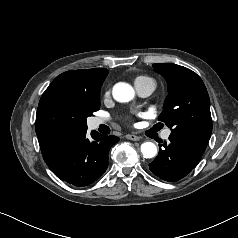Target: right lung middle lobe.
<instances>
[{"label": "right lung middle lobe", "mask_w": 238, "mask_h": 238, "mask_svg": "<svg viewBox=\"0 0 238 238\" xmlns=\"http://www.w3.org/2000/svg\"><path fill=\"white\" fill-rule=\"evenodd\" d=\"M108 70L104 69V78L107 76ZM100 108V93L94 95L83 96L77 101L78 118L75 127H87L86 118Z\"/></svg>", "instance_id": "right-lung-middle-lobe-1"}]
</instances>
